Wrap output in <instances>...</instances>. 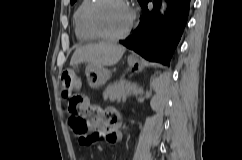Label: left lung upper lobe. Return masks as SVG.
I'll return each instance as SVG.
<instances>
[{
	"instance_id": "1",
	"label": "left lung upper lobe",
	"mask_w": 242,
	"mask_h": 160,
	"mask_svg": "<svg viewBox=\"0 0 242 160\" xmlns=\"http://www.w3.org/2000/svg\"><path fill=\"white\" fill-rule=\"evenodd\" d=\"M76 0H71V4H73ZM138 2L141 4L143 0H138Z\"/></svg>"
}]
</instances>
